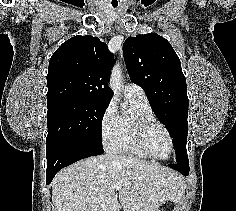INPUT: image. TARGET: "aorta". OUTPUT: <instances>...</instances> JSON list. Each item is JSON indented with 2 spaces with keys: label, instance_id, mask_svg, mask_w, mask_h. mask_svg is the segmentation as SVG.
Returning <instances> with one entry per match:
<instances>
[{
  "label": "aorta",
  "instance_id": "1",
  "mask_svg": "<svg viewBox=\"0 0 236 211\" xmlns=\"http://www.w3.org/2000/svg\"><path fill=\"white\" fill-rule=\"evenodd\" d=\"M109 87L114 95H119L122 87V69L119 64H116L112 69Z\"/></svg>",
  "mask_w": 236,
  "mask_h": 211
}]
</instances>
